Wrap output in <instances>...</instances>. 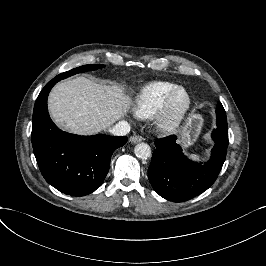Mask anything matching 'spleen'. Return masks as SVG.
Listing matches in <instances>:
<instances>
[{
    "label": "spleen",
    "instance_id": "obj_1",
    "mask_svg": "<svg viewBox=\"0 0 266 266\" xmlns=\"http://www.w3.org/2000/svg\"><path fill=\"white\" fill-rule=\"evenodd\" d=\"M190 158H191L192 160H194V161H198V160H199V157H198L197 155H195V154H191V155H190Z\"/></svg>",
    "mask_w": 266,
    "mask_h": 266
}]
</instances>
